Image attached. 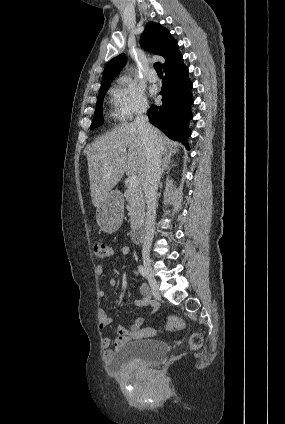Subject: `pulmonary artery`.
<instances>
[{
	"label": "pulmonary artery",
	"mask_w": 285,
	"mask_h": 424,
	"mask_svg": "<svg viewBox=\"0 0 285 424\" xmlns=\"http://www.w3.org/2000/svg\"><path fill=\"white\" fill-rule=\"evenodd\" d=\"M147 79L150 82H156L158 80V76L154 71L151 70L147 73Z\"/></svg>",
	"instance_id": "1"
}]
</instances>
